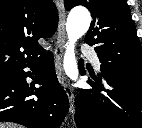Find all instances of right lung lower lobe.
<instances>
[{
    "mask_svg": "<svg viewBox=\"0 0 142 128\" xmlns=\"http://www.w3.org/2000/svg\"><path fill=\"white\" fill-rule=\"evenodd\" d=\"M25 67L37 69L39 88L29 86L26 78L31 74L23 70ZM68 110V97L57 80L51 52L0 83V121L28 128H59Z\"/></svg>",
    "mask_w": 142,
    "mask_h": 128,
    "instance_id": "1",
    "label": "right lung lower lobe"
}]
</instances>
